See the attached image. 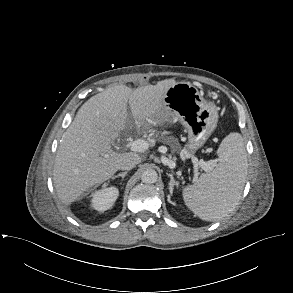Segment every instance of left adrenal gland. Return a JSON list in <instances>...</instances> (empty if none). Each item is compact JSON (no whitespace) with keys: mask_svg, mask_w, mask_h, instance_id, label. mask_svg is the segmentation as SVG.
<instances>
[{"mask_svg":"<svg viewBox=\"0 0 293 293\" xmlns=\"http://www.w3.org/2000/svg\"><path fill=\"white\" fill-rule=\"evenodd\" d=\"M168 176L170 177L169 191H170V194L172 195L174 187L178 188V182L174 180L173 174H168Z\"/></svg>","mask_w":293,"mask_h":293,"instance_id":"a2214340","label":"left adrenal gland"}]
</instances>
